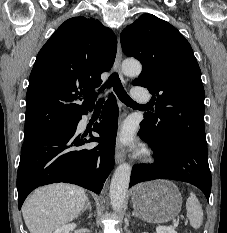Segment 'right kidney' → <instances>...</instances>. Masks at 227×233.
Masks as SVG:
<instances>
[{
    "label": "right kidney",
    "mask_w": 227,
    "mask_h": 233,
    "mask_svg": "<svg viewBox=\"0 0 227 233\" xmlns=\"http://www.w3.org/2000/svg\"><path fill=\"white\" fill-rule=\"evenodd\" d=\"M76 228V224L71 223L67 225H63L55 230L54 233H70L71 230Z\"/></svg>",
    "instance_id": "obj_1"
}]
</instances>
